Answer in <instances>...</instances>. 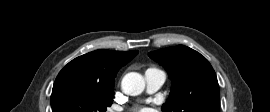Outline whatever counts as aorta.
<instances>
[{
  "instance_id": "1",
  "label": "aorta",
  "mask_w": 270,
  "mask_h": 112,
  "mask_svg": "<svg viewBox=\"0 0 270 112\" xmlns=\"http://www.w3.org/2000/svg\"><path fill=\"white\" fill-rule=\"evenodd\" d=\"M121 87L124 93L136 96L144 91L145 80L141 74L130 72L123 77Z\"/></svg>"
}]
</instances>
